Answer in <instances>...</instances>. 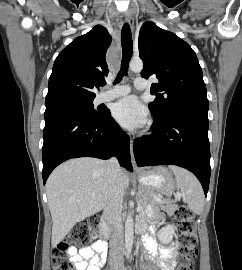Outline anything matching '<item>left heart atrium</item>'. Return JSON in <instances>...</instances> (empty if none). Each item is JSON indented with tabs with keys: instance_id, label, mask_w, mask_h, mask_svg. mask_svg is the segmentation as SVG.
<instances>
[{
	"instance_id": "39dd6f15",
	"label": "left heart atrium",
	"mask_w": 242,
	"mask_h": 270,
	"mask_svg": "<svg viewBox=\"0 0 242 270\" xmlns=\"http://www.w3.org/2000/svg\"><path fill=\"white\" fill-rule=\"evenodd\" d=\"M113 117L126 128H138L146 123L147 111L135 96L125 97L114 104Z\"/></svg>"
}]
</instances>
